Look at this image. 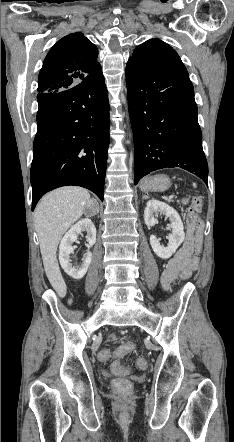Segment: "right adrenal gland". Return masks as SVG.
Listing matches in <instances>:
<instances>
[{
    "label": "right adrenal gland",
    "mask_w": 234,
    "mask_h": 442,
    "mask_svg": "<svg viewBox=\"0 0 234 442\" xmlns=\"http://www.w3.org/2000/svg\"><path fill=\"white\" fill-rule=\"evenodd\" d=\"M95 203L96 204V207H97V213L99 212V205H98V203L94 200V199H91L90 200V203Z\"/></svg>",
    "instance_id": "right-adrenal-gland-1"
}]
</instances>
